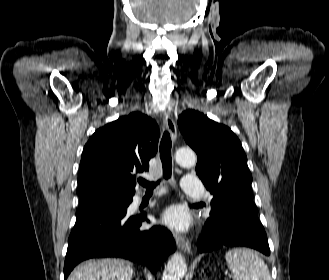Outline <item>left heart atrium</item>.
<instances>
[{
    "instance_id": "39dd6f15",
    "label": "left heart atrium",
    "mask_w": 329,
    "mask_h": 280,
    "mask_svg": "<svg viewBox=\"0 0 329 280\" xmlns=\"http://www.w3.org/2000/svg\"><path fill=\"white\" fill-rule=\"evenodd\" d=\"M162 221L176 230H186L189 225L187 212L179 206H171L163 213Z\"/></svg>"
}]
</instances>
